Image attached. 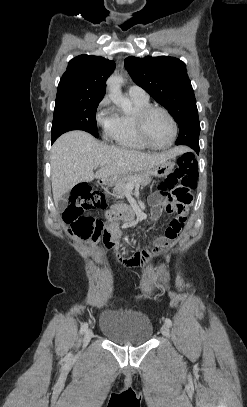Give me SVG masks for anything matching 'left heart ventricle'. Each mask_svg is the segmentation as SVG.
<instances>
[{
    "instance_id": "1",
    "label": "left heart ventricle",
    "mask_w": 247,
    "mask_h": 407,
    "mask_svg": "<svg viewBox=\"0 0 247 407\" xmlns=\"http://www.w3.org/2000/svg\"><path fill=\"white\" fill-rule=\"evenodd\" d=\"M145 130L149 141L156 146L167 145L173 134L170 119L161 111H153L148 116Z\"/></svg>"
}]
</instances>
